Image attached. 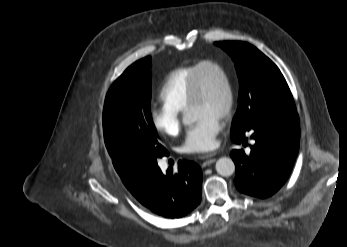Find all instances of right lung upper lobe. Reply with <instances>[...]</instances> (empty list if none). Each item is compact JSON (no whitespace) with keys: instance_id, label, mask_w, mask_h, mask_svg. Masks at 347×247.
I'll use <instances>...</instances> for the list:
<instances>
[{"instance_id":"cb5924a9","label":"right lung upper lobe","mask_w":347,"mask_h":247,"mask_svg":"<svg viewBox=\"0 0 347 247\" xmlns=\"http://www.w3.org/2000/svg\"><path fill=\"white\" fill-rule=\"evenodd\" d=\"M127 172H128V170H127V171L122 172V174H120V175H126V174H127Z\"/></svg>"}]
</instances>
